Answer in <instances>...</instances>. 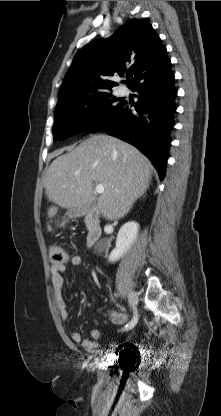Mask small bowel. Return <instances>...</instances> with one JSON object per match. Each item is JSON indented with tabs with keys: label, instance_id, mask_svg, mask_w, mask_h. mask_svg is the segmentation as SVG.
I'll return each instance as SVG.
<instances>
[{
	"label": "small bowel",
	"instance_id": "obj_1",
	"mask_svg": "<svg viewBox=\"0 0 221 416\" xmlns=\"http://www.w3.org/2000/svg\"><path fill=\"white\" fill-rule=\"evenodd\" d=\"M69 262L72 267H79L82 264V257L79 255H73L70 257ZM65 269L66 267L64 264H61V265L52 264L50 267L54 299H55L57 308L63 320H66L69 317L66 302L63 296V287H64L63 273L65 272ZM109 318L112 323L121 325L127 321L128 316L122 310H112L109 313ZM100 338H101V332L98 329L91 330L90 338L88 339H84L81 333L78 331H74L71 333V340L74 343L80 344L85 350H88V351H92L97 348L98 346L97 341Z\"/></svg>",
	"mask_w": 221,
	"mask_h": 416
}]
</instances>
